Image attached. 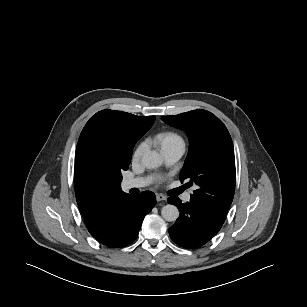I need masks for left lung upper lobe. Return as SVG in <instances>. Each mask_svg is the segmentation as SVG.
I'll use <instances>...</instances> for the list:
<instances>
[{"label":"left lung upper lobe","mask_w":307,"mask_h":307,"mask_svg":"<svg viewBox=\"0 0 307 307\" xmlns=\"http://www.w3.org/2000/svg\"><path fill=\"white\" fill-rule=\"evenodd\" d=\"M162 120L184 130L189 152L180 179L196 185L190 202L213 218L224 222L235 191V159L231 136L214 114L193 110Z\"/></svg>","instance_id":"left-lung-upper-lobe-1"}]
</instances>
